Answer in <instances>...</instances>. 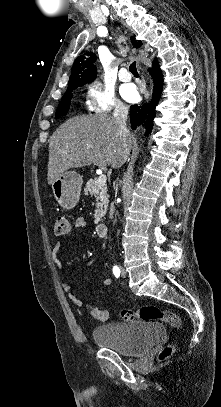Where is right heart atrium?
Masks as SVG:
<instances>
[{"mask_svg": "<svg viewBox=\"0 0 221 407\" xmlns=\"http://www.w3.org/2000/svg\"><path fill=\"white\" fill-rule=\"evenodd\" d=\"M86 99L89 109L96 113H124L127 110L112 90L98 82L86 86Z\"/></svg>", "mask_w": 221, "mask_h": 407, "instance_id": "1", "label": "right heart atrium"}]
</instances>
